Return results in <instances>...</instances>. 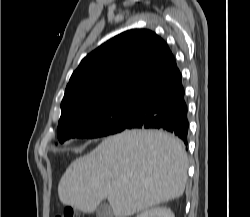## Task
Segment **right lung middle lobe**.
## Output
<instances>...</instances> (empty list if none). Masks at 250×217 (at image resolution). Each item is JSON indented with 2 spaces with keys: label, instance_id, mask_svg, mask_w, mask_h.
<instances>
[{
  "label": "right lung middle lobe",
  "instance_id": "right-lung-middle-lobe-1",
  "mask_svg": "<svg viewBox=\"0 0 250 217\" xmlns=\"http://www.w3.org/2000/svg\"><path fill=\"white\" fill-rule=\"evenodd\" d=\"M136 109V100L113 102L81 111L58 124L60 143L71 138H98L123 131Z\"/></svg>",
  "mask_w": 250,
  "mask_h": 217
}]
</instances>
